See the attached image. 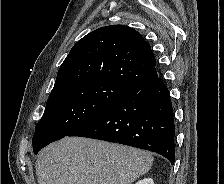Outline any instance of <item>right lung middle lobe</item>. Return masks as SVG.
I'll use <instances>...</instances> for the list:
<instances>
[{
  "mask_svg": "<svg viewBox=\"0 0 224 184\" xmlns=\"http://www.w3.org/2000/svg\"><path fill=\"white\" fill-rule=\"evenodd\" d=\"M128 88L124 84L94 80L75 84L49 97L35 128L34 153L93 120Z\"/></svg>",
  "mask_w": 224,
  "mask_h": 184,
  "instance_id": "1",
  "label": "right lung middle lobe"
}]
</instances>
